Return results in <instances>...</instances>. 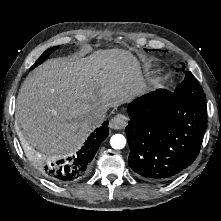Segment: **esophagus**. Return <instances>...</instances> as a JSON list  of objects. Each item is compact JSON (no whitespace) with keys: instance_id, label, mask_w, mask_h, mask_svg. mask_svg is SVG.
Returning a JSON list of instances; mask_svg holds the SVG:
<instances>
[{"instance_id":"obj_1","label":"esophagus","mask_w":221,"mask_h":221,"mask_svg":"<svg viewBox=\"0 0 221 221\" xmlns=\"http://www.w3.org/2000/svg\"><path fill=\"white\" fill-rule=\"evenodd\" d=\"M127 124H128V117L125 114L120 113L111 119L109 126L112 129L119 130L125 128Z\"/></svg>"}]
</instances>
